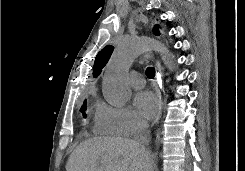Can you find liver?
Here are the masks:
<instances>
[{"instance_id": "1", "label": "liver", "mask_w": 245, "mask_h": 171, "mask_svg": "<svg viewBox=\"0 0 245 171\" xmlns=\"http://www.w3.org/2000/svg\"><path fill=\"white\" fill-rule=\"evenodd\" d=\"M66 171H153L134 140L95 137L85 140L70 155Z\"/></svg>"}]
</instances>
